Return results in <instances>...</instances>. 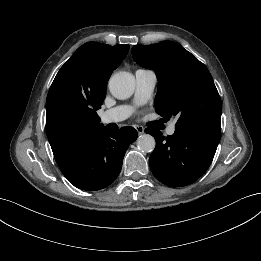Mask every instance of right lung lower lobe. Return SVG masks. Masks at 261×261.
<instances>
[{"label": "right lung lower lobe", "instance_id": "98d812e1", "mask_svg": "<svg viewBox=\"0 0 261 261\" xmlns=\"http://www.w3.org/2000/svg\"><path fill=\"white\" fill-rule=\"evenodd\" d=\"M132 127L100 131L86 151L62 171L75 187L95 191L110 185L119 175L125 152L137 138Z\"/></svg>", "mask_w": 261, "mask_h": 261}]
</instances>
